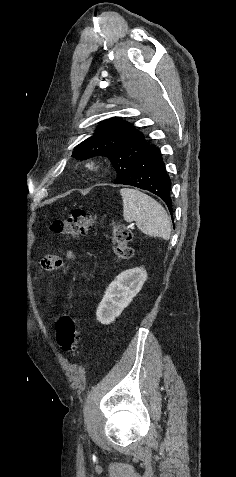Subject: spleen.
I'll return each instance as SVG.
<instances>
[{
    "mask_svg": "<svg viewBox=\"0 0 236 477\" xmlns=\"http://www.w3.org/2000/svg\"><path fill=\"white\" fill-rule=\"evenodd\" d=\"M123 198V216L125 221H135L145 234L170 238L171 223L165 209L152 197L132 188L120 190Z\"/></svg>",
    "mask_w": 236,
    "mask_h": 477,
    "instance_id": "obj_1",
    "label": "spleen"
}]
</instances>
